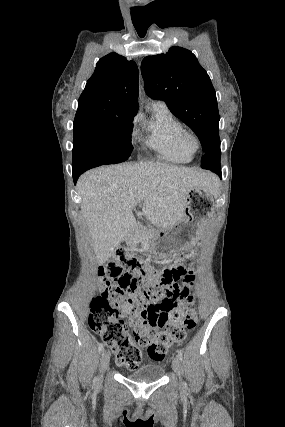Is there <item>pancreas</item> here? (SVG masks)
<instances>
[{"label": "pancreas", "instance_id": "1", "mask_svg": "<svg viewBox=\"0 0 285 427\" xmlns=\"http://www.w3.org/2000/svg\"><path fill=\"white\" fill-rule=\"evenodd\" d=\"M139 237L136 232H132L129 237L126 239L128 245H133Z\"/></svg>", "mask_w": 285, "mask_h": 427}]
</instances>
